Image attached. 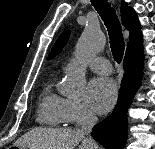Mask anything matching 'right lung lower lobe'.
<instances>
[{
	"mask_svg": "<svg viewBox=\"0 0 155 149\" xmlns=\"http://www.w3.org/2000/svg\"><path fill=\"white\" fill-rule=\"evenodd\" d=\"M144 56L124 58L125 69L114 111L92 129L93 138L106 149H124L127 140V109L139 88Z\"/></svg>",
	"mask_w": 155,
	"mask_h": 149,
	"instance_id": "right-lung-lower-lobe-1",
	"label": "right lung lower lobe"
}]
</instances>
